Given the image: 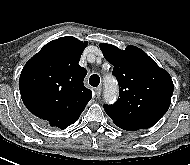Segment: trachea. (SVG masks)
<instances>
[{"instance_id": "trachea-1", "label": "trachea", "mask_w": 190, "mask_h": 165, "mask_svg": "<svg viewBox=\"0 0 190 165\" xmlns=\"http://www.w3.org/2000/svg\"><path fill=\"white\" fill-rule=\"evenodd\" d=\"M100 83V77L97 74H93L89 78V84L93 87H97Z\"/></svg>"}]
</instances>
